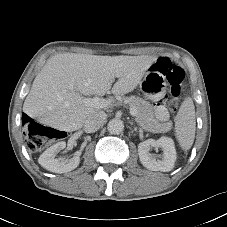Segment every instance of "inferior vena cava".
I'll return each instance as SVG.
<instances>
[{
    "instance_id": "1",
    "label": "inferior vena cava",
    "mask_w": 227,
    "mask_h": 227,
    "mask_svg": "<svg viewBox=\"0 0 227 227\" xmlns=\"http://www.w3.org/2000/svg\"><path fill=\"white\" fill-rule=\"evenodd\" d=\"M106 119V113L103 111L97 112L89 116L84 123V131L87 133H93L97 131Z\"/></svg>"
}]
</instances>
